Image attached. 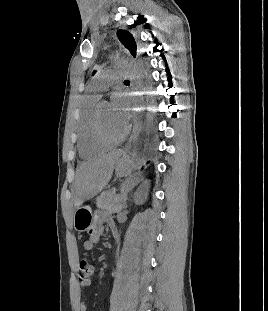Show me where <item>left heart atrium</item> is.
I'll list each match as a JSON object with an SVG mask.
<instances>
[{"instance_id":"1","label":"left heart atrium","mask_w":268,"mask_h":311,"mask_svg":"<svg viewBox=\"0 0 268 311\" xmlns=\"http://www.w3.org/2000/svg\"><path fill=\"white\" fill-rule=\"evenodd\" d=\"M124 94L122 93H115L112 97V108L115 112L116 117L120 122L124 125L128 123L129 120V108H126V101L124 99Z\"/></svg>"}]
</instances>
